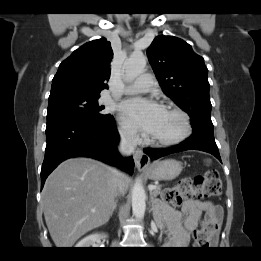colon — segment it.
I'll list each match as a JSON object with an SVG mask.
<instances>
[{
	"label": "colon",
	"mask_w": 261,
	"mask_h": 261,
	"mask_svg": "<svg viewBox=\"0 0 261 261\" xmlns=\"http://www.w3.org/2000/svg\"><path fill=\"white\" fill-rule=\"evenodd\" d=\"M222 190L223 184L218 172L208 170L203 175L181 180L177 186L165 190L162 198L172 206H179L185 200L219 196ZM216 228L215 222L203 220L201 228L195 234L196 245L202 248L209 247L213 242Z\"/></svg>",
	"instance_id": "colon-1"
}]
</instances>
